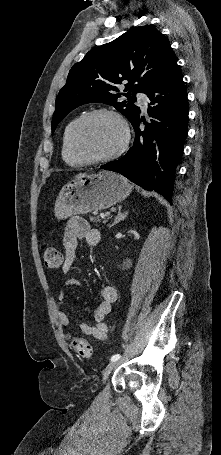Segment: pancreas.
Segmentation results:
<instances>
[{
    "instance_id": "obj_1",
    "label": "pancreas",
    "mask_w": 221,
    "mask_h": 455,
    "mask_svg": "<svg viewBox=\"0 0 221 455\" xmlns=\"http://www.w3.org/2000/svg\"><path fill=\"white\" fill-rule=\"evenodd\" d=\"M90 220L96 224L101 223V219L98 216H93Z\"/></svg>"
}]
</instances>
